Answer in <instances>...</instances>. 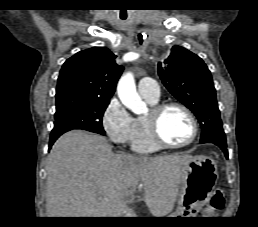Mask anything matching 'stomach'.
<instances>
[{"instance_id":"obj_1","label":"stomach","mask_w":258,"mask_h":227,"mask_svg":"<svg viewBox=\"0 0 258 227\" xmlns=\"http://www.w3.org/2000/svg\"><path fill=\"white\" fill-rule=\"evenodd\" d=\"M218 180L217 166L207 156H194L181 166L177 210L168 217H191L207 202Z\"/></svg>"}]
</instances>
